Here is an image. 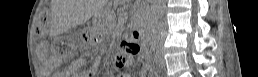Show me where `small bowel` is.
Returning <instances> with one entry per match:
<instances>
[{
  "instance_id": "small-bowel-1",
  "label": "small bowel",
  "mask_w": 258,
  "mask_h": 77,
  "mask_svg": "<svg viewBox=\"0 0 258 77\" xmlns=\"http://www.w3.org/2000/svg\"><path fill=\"white\" fill-rule=\"evenodd\" d=\"M38 50L46 58V63L49 67H53V66H56V65L60 64V62H61L60 59L46 56V54H47L46 44H44V43L41 44L39 46Z\"/></svg>"
}]
</instances>
